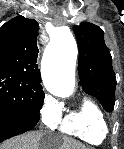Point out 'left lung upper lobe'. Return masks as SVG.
<instances>
[{"instance_id": "obj_1", "label": "left lung upper lobe", "mask_w": 124, "mask_h": 149, "mask_svg": "<svg viewBox=\"0 0 124 149\" xmlns=\"http://www.w3.org/2000/svg\"><path fill=\"white\" fill-rule=\"evenodd\" d=\"M79 44L78 72L83 90L110 112L115 104L116 76L103 30L92 23L73 26Z\"/></svg>"}]
</instances>
